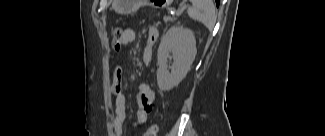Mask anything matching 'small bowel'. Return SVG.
Returning a JSON list of instances; mask_svg holds the SVG:
<instances>
[{
    "instance_id": "1",
    "label": "small bowel",
    "mask_w": 325,
    "mask_h": 136,
    "mask_svg": "<svg viewBox=\"0 0 325 136\" xmlns=\"http://www.w3.org/2000/svg\"><path fill=\"white\" fill-rule=\"evenodd\" d=\"M124 44L132 43L135 40V31L132 28L121 29ZM158 38V30L154 27L147 32V39L142 54V59L145 64H149L152 60V47ZM123 65H116L113 69V80L111 84L112 93L115 97V117L112 121V128L116 136H121L124 131V124L126 120L127 98L122 90L123 86ZM154 93L150 86L142 83L138 88L137 94V119L133 124L136 128L143 125L148 120L152 109Z\"/></svg>"
}]
</instances>
